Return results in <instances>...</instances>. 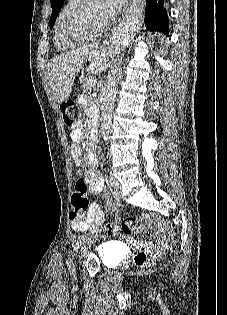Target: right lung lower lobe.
<instances>
[{
	"instance_id": "98d812e1",
	"label": "right lung lower lobe",
	"mask_w": 227,
	"mask_h": 315,
	"mask_svg": "<svg viewBox=\"0 0 227 315\" xmlns=\"http://www.w3.org/2000/svg\"><path fill=\"white\" fill-rule=\"evenodd\" d=\"M145 24L150 31H159L168 35L169 24L163 0H147L145 8Z\"/></svg>"
}]
</instances>
